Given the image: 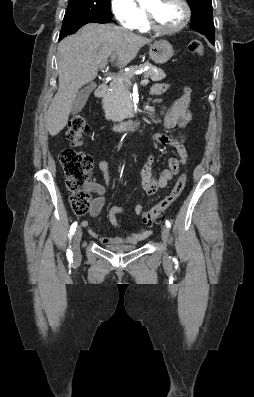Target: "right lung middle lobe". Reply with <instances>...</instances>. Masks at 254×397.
Segmentation results:
<instances>
[{"label":"right lung middle lobe","mask_w":254,"mask_h":397,"mask_svg":"<svg viewBox=\"0 0 254 397\" xmlns=\"http://www.w3.org/2000/svg\"><path fill=\"white\" fill-rule=\"evenodd\" d=\"M110 0H69L64 17H87L91 19H110Z\"/></svg>","instance_id":"right-lung-middle-lobe-1"}]
</instances>
